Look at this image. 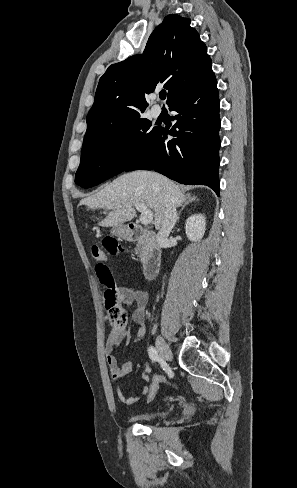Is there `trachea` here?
Returning a JSON list of instances; mask_svg holds the SVG:
<instances>
[{
  "label": "trachea",
  "mask_w": 297,
  "mask_h": 488,
  "mask_svg": "<svg viewBox=\"0 0 297 488\" xmlns=\"http://www.w3.org/2000/svg\"><path fill=\"white\" fill-rule=\"evenodd\" d=\"M159 97L161 100H164L166 98V91L165 90H162L160 93H159Z\"/></svg>",
  "instance_id": "trachea-1"
}]
</instances>
